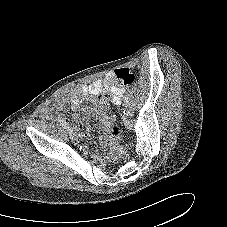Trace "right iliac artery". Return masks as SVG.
Returning a JSON list of instances; mask_svg holds the SVG:
<instances>
[{"label":"right iliac artery","instance_id":"obj_1","mask_svg":"<svg viewBox=\"0 0 227 227\" xmlns=\"http://www.w3.org/2000/svg\"><path fill=\"white\" fill-rule=\"evenodd\" d=\"M58 121L60 122V124L67 129L68 128V124L66 123V121H64L63 119L58 117Z\"/></svg>","mask_w":227,"mask_h":227}]
</instances>
